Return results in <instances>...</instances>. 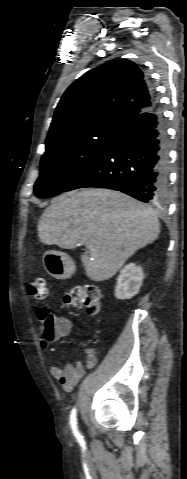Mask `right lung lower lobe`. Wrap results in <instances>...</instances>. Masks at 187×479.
I'll return each instance as SVG.
<instances>
[{"label": "right lung lower lobe", "instance_id": "right-lung-lower-lobe-1", "mask_svg": "<svg viewBox=\"0 0 187 479\" xmlns=\"http://www.w3.org/2000/svg\"><path fill=\"white\" fill-rule=\"evenodd\" d=\"M147 84L154 94L148 81ZM168 160L165 120L156 102L151 109L131 119L64 191L109 188L143 202H159L168 192Z\"/></svg>", "mask_w": 187, "mask_h": 479}]
</instances>
